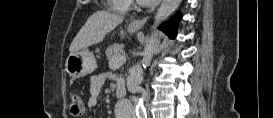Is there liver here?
<instances>
[{"label": "liver", "instance_id": "obj_1", "mask_svg": "<svg viewBox=\"0 0 273 118\" xmlns=\"http://www.w3.org/2000/svg\"><path fill=\"white\" fill-rule=\"evenodd\" d=\"M124 17L107 11L92 14L73 39L69 51L77 52L103 41L106 34L123 22Z\"/></svg>", "mask_w": 273, "mask_h": 118}]
</instances>
